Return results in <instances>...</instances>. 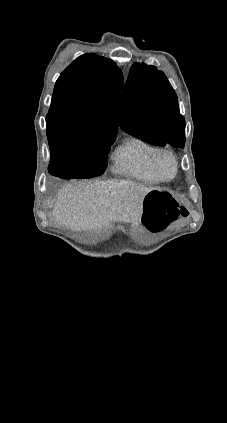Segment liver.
Returning <instances> with one entry per match:
<instances>
[{"instance_id":"liver-1","label":"liver","mask_w":227,"mask_h":423,"mask_svg":"<svg viewBox=\"0 0 227 423\" xmlns=\"http://www.w3.org/2000/svg\"><path fill=\"white\" fill-rule=\"evenodd\" d=\"M152 186L130 180L97 184H68L53 206L50 217L70 229H101L112 221H139L142 204Z\"/></svg>"}]
</instances>
